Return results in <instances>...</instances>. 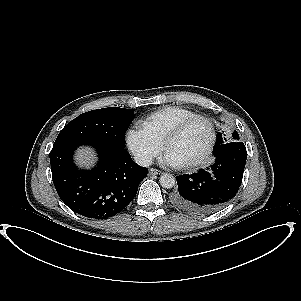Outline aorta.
I'll return each mask as SVG.
<instances>
[{
    "label": "aorta",
    "mask_w": 301,
    "mask_h": 301,
    "mask_svg": "<svg viewBox=\"0 0 301 301\" xmlns=\"http://www.w3.org/2000/svg\"><path fill=\"white\" fill-rule=\"evenodd\" d=\"M159 183L163 188L170 189L176 184V179L172 174L164 173L160 176Z\"/></svg>",
    "instance_id": "obj_1"
}]
</instances>
